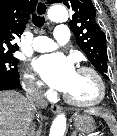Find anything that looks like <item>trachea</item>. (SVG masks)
Segmentation results:
<instances>
[{"instance_id": "3493384b", "label": "trachea", "mask_w": 117, "mask_h": 136, "mask_svg": "<svg viewBox=\"0 0 117 136\" xmlns=\"http://www.w3.org/2000/svg\"><path fill=\"white\" fill-rule=\"evenodd\" d=\"M32 22L36 27H42L44 25L45 19L41 15L33 14L32 15Z\"/></svg>"}]
</instances>
